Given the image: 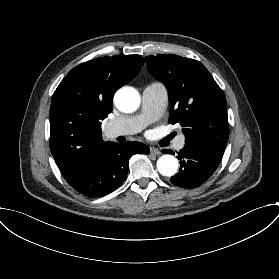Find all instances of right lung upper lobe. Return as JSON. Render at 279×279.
<instances>
[{
	"instance_id": "right-lung-upper-lobe-1",
	"label": "right lung upper lobe",
	"mask_w": 279,
	"mask_h": 279,
	"mask_svg": "<svg viewBox=\"0 0 279 279\" xmlns=\"http://www.w3.org/2000/svg\"><path fill=\"white\" fill-rule=\"evenodd\" d=\"M145 59L121 55L90 60L73 68L55 90L50 107V149L68 181L89 168L110 143L101 121L118 88L135 78Z\"/></svg>"
}]
</instances>
